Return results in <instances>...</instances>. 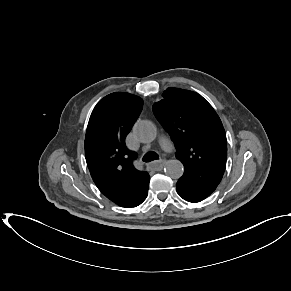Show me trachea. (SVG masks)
I'll use <instances>...</instances> for the list:
<instances>
[{
  "label": "trachea",
  "mask_w": 291,
  "mask_h": 291,
  "mask_svg": "<svg viewBox=\"0 0 291 291\" xmlns=\"http://www.w3.org/2000/svg\"><path fill=\"white\" fill-rule=\"evenodd\" d=\"M158 158L159 156L155 152L151 151L146 153L142 160L143 162H151L153 160H157Z\"/></svg>",
  "instance_id": "3493384b"
}]
</instances>
